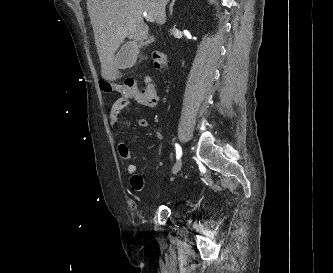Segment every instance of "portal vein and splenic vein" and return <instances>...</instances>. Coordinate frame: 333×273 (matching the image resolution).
<instances>
[{"mask_svg": "<svg viewBox=\"0 0 333 273\" xmlns=\"http://www.w3.org/2000/svg\"><path fill=\"white\" fill-rule=\"evenodd\" d=\"M144 14H146V13H144ZM146 18L149 22H154V17L153 16L146 14Z\"/></svg>", "mask_w": 333, "mask_h": 273, "instance_id": "1", "label": "portal vein and splenic vein"}]
</instances>
